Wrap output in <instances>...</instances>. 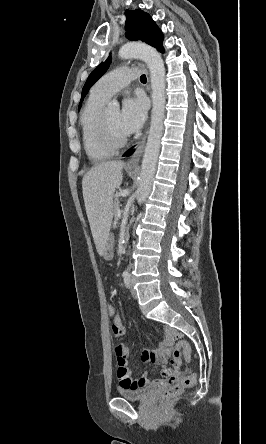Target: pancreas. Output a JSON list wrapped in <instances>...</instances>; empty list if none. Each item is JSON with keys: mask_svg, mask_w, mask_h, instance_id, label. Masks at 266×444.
<instances>
[{"mask_svg": "<svg viewBox=\"0 0 266 444\" xmlns=\"http://www.w3.org/2000/svg\"><path fill=\"white\" fill-rule=\"evenodd\" d=\"M119 207H120V202H119L118 199H116L114 201V203H113V212H114V219H115V221L118 220L117 210L119 209Z\"/></svg>", "mask_w": 266, "mask_h": 444, "instance_id": "pancreas-1", "label": "pancreas"}]
</instances>
